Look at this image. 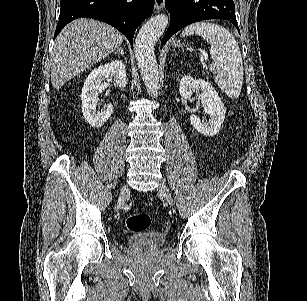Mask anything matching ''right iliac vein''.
Returning a JSON list of instances; mask_svg holds the SVG:
<instances>
[{"label": "right iliac vein", "instance_id": "63e3f726", "mask_svg": "<svg viewBox=\"0 0 307 301\" xmlns=\"http://www.w3.org/2000/svg\"><path fill=\"white\" fill-rule=\"evenodd\" d=\"M128 194H129V190L126 187H124L120 192L119 200L117 203V208H121L124 205V200L126 199Z\"/></svg>", "mask_w": 307, "mask_h": 301}]
</instances>
